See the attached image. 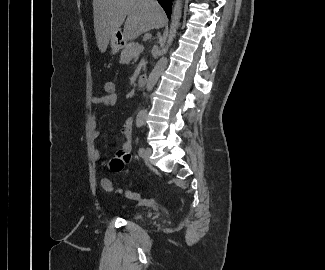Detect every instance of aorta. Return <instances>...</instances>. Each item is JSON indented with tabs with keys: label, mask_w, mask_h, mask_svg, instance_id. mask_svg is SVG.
<instances>
[{
	"label": "aorta",
	"mask_w": 325,
	"mask_h": 270,
	"mask_svg": "<svg viewBox=\"0 0 325 270\" xmlns=\"http://www.w3.org/2000/svg\"><path fill=\"white\" fill-rule=\"evenodd\" d=\"M181 16H182V0H175L172 17H171L169 35H168L166 46L163 49L164 55L167 54L169 47L171 46L174 38L176 37ZM166 65H167V58L166 56H162V58L157 62V64L155 65L154 69L152 70V72L150 73L147 79V84H146L147 91H151L153 89L159 77L165 70ZM146 115H147V110L143 109L138 113L137 117L138 119H144Z\"/></svg>",
	"instance_id": "aorta-1"
}]
</instances>
